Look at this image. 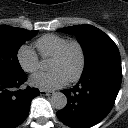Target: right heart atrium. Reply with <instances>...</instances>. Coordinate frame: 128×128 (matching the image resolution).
Segmentation results:
<instances>
[{"mask_svg":"<svg viewBox=\"0 0 128 128\" xmlns=\"http://www.w3.org/2000/svg\"><path fill=\"white\" fill-rule=\"evenodd\" d=\"M17 61L20 67L28 73L36 72L40 67L37 53L29 45H22L17 51Z\"/></svg>","mask_w":128,"mask_h":128,"instance_id":"right-heart-atrium-1","label":"right heart atrium"}]
</instances>
